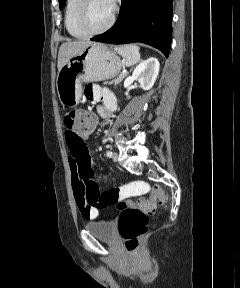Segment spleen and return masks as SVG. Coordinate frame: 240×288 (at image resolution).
Wrapping results in <instances>:
<instances>
[{
	"label": "spleen",
	"mask_w": 240,
	"mask_h": 288,
	"mask_svg": "<svg viewBox=\"0 0 240 288\" xmlns=\"http://www.w3.org/2000/svg\"><path fill=\"white\" fill-rule=\"evenodd\" d=\"M116 50L124 58L126 65L131 66L140 61V48L137 45H125Z\"/></svg>",
	"instance_id": "1"
}]
</instances>
